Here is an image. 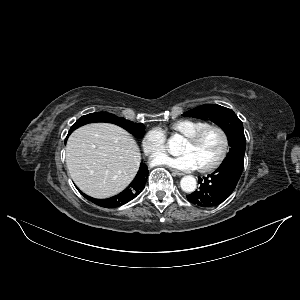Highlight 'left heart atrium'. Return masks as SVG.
Returning <instances> with one entry per match:
<instances>
[{
  "label": "left heart atrium",
  "instance_id": "obj_1",
  "mask_svg": "<svg viewBox=\"0 0 300 300\" xmlns=\"http://www.w3.org/2000/svg\"><path fill=\"white\" fill-rule=\"evenodd\" d=\"M153 165H165L173 169L190 171L198 168L197 163L190 154L179 156H168L165 154L157 155L152 159Z\"/></svg>",
  "mask_w": 300,
  "mask_h": 300
}]
</instances>
